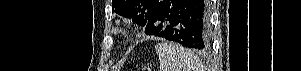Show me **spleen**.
<instances>
[{
  "label": "spleen",
  "mask_w": 301,
  "mask_h": 71,
  "mask_svg": "<svg viewBox=\"0 0 301 71\" xmlns=\"http://www.w3.org/2000/svg\"><path fill=\"white\" fill-rule=\"evenodd\" d=\"M155 50L159 56V71H204L198 57L179 44L162 42Z\"/></svg>",
  "instance_id": "obj_1"
}]
</instances>
